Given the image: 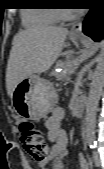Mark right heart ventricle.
I'll list each match as a JSON object with an SVG mask.
<instances>
[{
	"label": "right heart ventricle",
	"instance_id": "obj_1",
	"mask_svg": "<svg viewBox=\"0 0 104 169\" xmlns=\"http://www.w3.org/2000/svg\"><path fill=\"white\" fill-rule=\"evenodd\" d=\"M22 18L27 26L52 25L58 22L54 9H31L22 13Z\"/></svg>",
	"mask_w": 104,
	"mask_h": 169
}]
</instances>
